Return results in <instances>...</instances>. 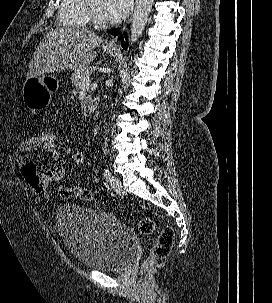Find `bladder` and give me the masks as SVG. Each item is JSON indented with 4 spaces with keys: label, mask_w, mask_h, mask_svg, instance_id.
Segmentation results:
<instances>
[{
    "label": "bladder",
    "mask_w": 272,
    "mask_h": 303,
    "mask_svg": "<svg viewBox=\"0 0 272 303\" xmlns=\"http://www.w3.org/2000/svg\"><path fill=\"white\" fill-rule=\"evenodd\" d=\"M55 226L73 257L89 269L124 270L138 248L131 228L113 215L86 206L62 205L56 211Z\"/></svg>",
    "instance_id": "obj_1"
}]
</instances>
